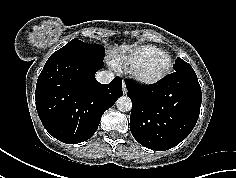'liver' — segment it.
<instances>
[{"instance_id": "6515ba94", "label": "liver", "mask_w": 236, "mask_h": 178, "mask_svg": "<svg viewBox=\"0 0 236 178\" xmlns=\"http://www.w3.org/2000/svg\"><path fill=\"white\" fill-rule=\"evenodd\" d=\"M130 48H131V45L116 46L112 50H110L109 55L113 56L117 53L125 54L127 51H129Z\"/></svg>"}]
</instances>
